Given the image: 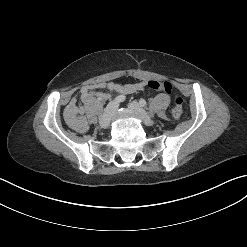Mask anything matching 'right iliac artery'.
Returning a JSON list of instances; mask_svg holds the SVG:
<instances>
[{"mask_svg":"<svg viewBox=\"0 0 247 247\" xmlns=\"http://www.w3.org/2000/svg\"><path fill=\"white\" fill-rule=\"evenodd\" d=\"M125 99L126 97L124 95H119L114 99V101L118 103V102H123Z\"/></svg>","mask_w":247,"mask_h":247,"instance_id":"right-iliac-artery-1","label":"right iliac artery"}]
</instances>
